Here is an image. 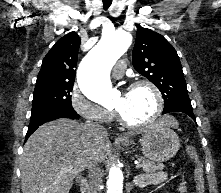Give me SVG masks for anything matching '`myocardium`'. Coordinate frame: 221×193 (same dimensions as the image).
Here are the masks:
<instances>
[{
  "label": "myocardium",
  "mask_w": 221,
  "mask_h": 193,
  "mask_svg": "<svg viewBox=\"0 0 221 193\" xmlns=\"http://www.w3.org/2000/svg\"><path fill=\"white\" fill-rule=\"evenodd\" d=\"M141 87H147L152 91V93L155 97L154 112L150 116V118H148L145 121L131 122L123 116V114L120 112L119 109L116 108V114H117L118 120L125 127H128V128H144V127H147V126L153 124L154 122H156V120L160 117V115L163 111V96H162V93H161L160 89L153 82H151L149 80H138V81H136V82H134L133 84L130 85L129 90L138 89V88H141Z\"/></svg>",
  "instance_id": "f54148a6"
}]
</instances>
